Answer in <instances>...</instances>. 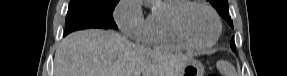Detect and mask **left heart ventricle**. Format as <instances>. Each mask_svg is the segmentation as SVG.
<instances>
[{"mask_svg": "<svg viewBox=\"0 0 287 76\" xmlns=\"http://www.w3.org/2000/svg\"><path fill=\"white\" fill-rule=\"evenodd\" d=\"M183 28L189 39L198 44L208 43L216 33L212 15L201 7H192L186 12Z\"/></svg>", "mask_w": 287, "mask_h": 76, "instance_id": "b2bd125f", "label": "left heart ventricle"}]
</instances>
